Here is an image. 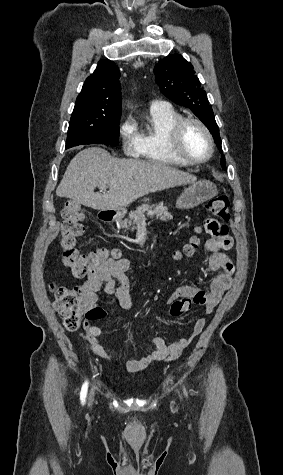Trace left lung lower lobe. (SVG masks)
Here are the masks:
<instances>
[{"label":"left lung lower lobe","instance_id":"1","mask_svg":"<svg viewBox=\"0 0 283 475\" xmlns=\"http://www.w3.org/2000/svg\"><path fill=\"white\" fill-rule=\"evenodd\" d=\"M217 146H218V148H219L220 152L222 153V147H221V145H220V146H219V145H217ZM221 166L223 167V169H226V165H225V157H224V155H222V157H221Z\"/></svg>","mask_w":283,"mask_h":475}]
</instances>
